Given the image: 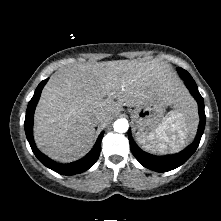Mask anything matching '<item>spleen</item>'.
Returning <instances> with one entry per match:
<instances>
[{"mask_svg":"<svg viewBox=\"0 0 221 221\" xmlns=\"http://www.w3.org/2000/svg\"><path fill=\"white\" fill-rule=\"evenodd\" d=\"M196 118L194 108L170 111L163 124L156 130V135L144 136L136 133L137 141L151 152H178L193 138L197 126ZM154 139L157 142H154Z\"/></svg>","mask_w":221,"mask_h":221,"instance_id":"3e777b00","label":"spleen"}]
</instances>
